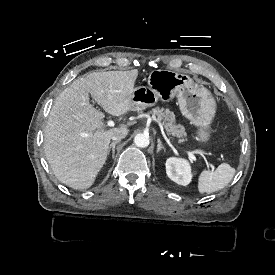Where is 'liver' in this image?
<instances>
[{"label":"liver","instance_id":"6515ba94","mask_svg":"<svg viewBox=\"0 0 275 275\" xmlns=\"http://www.w3.org/2000/svg\"><path fill=\"white\" fill-rule=\"evenodd\" d=\"M138 76L130 71L93 72L76 79L56 98L44 134V151L56 178L73 189L92 186L106 162L116 129H106L104 113L89 104V94L105 110L120 116L129 110Z\"/></svg>","mask_w":275,"mask_h":275}]
</instances>
